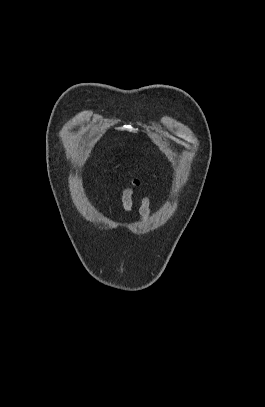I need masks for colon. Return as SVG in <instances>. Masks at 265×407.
<instances>
[{"instance_id": "5ec220e1", "label": "colon", "mask_w": 265, "mask_h": 407, "mask_svg": "<svg viewBox=\"0 0 265 407\" xmlns=\"http://www.w3.org/2000/svg\"><path fill=\"white\" fill-rule=\"evenodd\" d=\"M133 183L136 184V181L134 180Z\"/></svg>"}]
</instances>
